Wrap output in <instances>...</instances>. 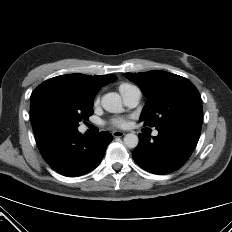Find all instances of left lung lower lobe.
<instances>
[{
  "label": "left lung lower lobe",
  "mask_w": 232,
  "mask_h": 232,
  "mask_svg": "<svg viewBox=\"0 0 232 232\" xmlns=\"http://www.w3.org/2000/svg\"><path fill=\"white\" fill-rule=\"evenodd\" d=\"M202 121L184 120L163 125L158 135L139 134L132 153L134 161L154 174H168L182 167L191 156L200 137Z\"/></svg>",
  "instance_id": "1"
}]
</instances>
